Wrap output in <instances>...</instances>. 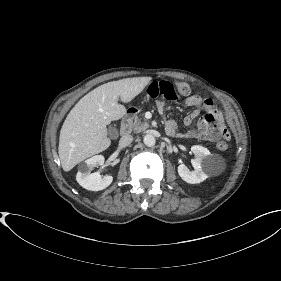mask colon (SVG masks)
<instances>
[{
    "label": "colon",
    "instance_id": "5ec220e1",
    "mask_svg": "<svg viewBox=\"0 0 281 281\" xmlns=\"http://www.w3.org/2000/svg\"><path fill=\"white\" fill-rule=\"evenodd\" d=\"M189 85L185 82H167V81H155L150 84L148 88V95L151 98L162 97L170 101L177 100L180 96L189 94ZM208 121L211 123L212 128L217 127L218 118L215 116H208ZM224 139L217 143V148L225 150L228 147L229 133L226 129L222 130Z\"/></svg>",
    "mask_w": 281,
    "mask_h": 281
}]
</instances>
